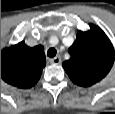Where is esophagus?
Here are the masks:
<instances>
[{
    "label": "esophagus",
    "mask_w": 115,
    "mask_h": 114,
    "mask_svg": "<svg viewBox=\"0 0 115 114\" xmlns=\"http://www.w3.org/2000/svg\"><path fill=\"white\" fill-rule=\"evenodd\" d=\"M49 61L52 64H60L61 63V58L59 56H56V57L50 59Z\"/></svg>",
    "instance_id": "1"
}]
</instances>
